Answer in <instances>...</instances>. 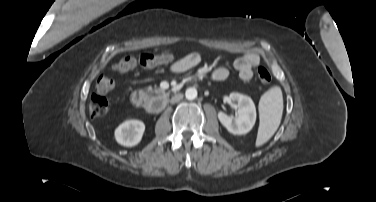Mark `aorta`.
<instances>
[{
    "mask_svg": "<svg viewBox=\"0 0 376 202\" xmlns=\"http://www.w3.org/2000/svg\"><path fill=\"white\" fill-rule=\"evenodd\" d=\"M185 96L188 100H194L197 97V90L194 87H190L186 90Z\"/></svg>",
    "mask_w": 376,
    "mask_h": 202,
    "instance_id": "aorta-1",
    "label": "aorta"
}]
</instances>
